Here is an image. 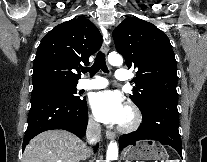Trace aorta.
Masks as SVG:
<instances>
[{"label":"aorta","mask_w":207,"mask_h":162,"mask_svg":"<svg viewBox=\"0 0 207 162\" xmlns=\"http://www.w3.org/2000/svg\"><path fill=\"white\" fill-rule=\"evenodd\" d=\"M108 62L113 66H121L123 58L121 55L113 54L108 56ZM118 158V145L116 142L111 141L107 148L106 162H112Z\"/></svg>","instance_id":"aorta-1"}]
</instances>
